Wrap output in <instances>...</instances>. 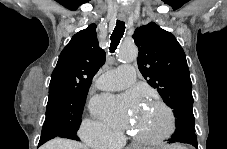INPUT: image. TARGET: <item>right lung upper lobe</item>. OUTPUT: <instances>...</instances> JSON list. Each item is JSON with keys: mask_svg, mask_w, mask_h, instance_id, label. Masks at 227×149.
Masks as SVG:
<instances>
[{"mask_svg": "<svg viewBox=\"0 0 227 149\" xmlns=\"http://www.w3.org/2000/svg\"><path fill=\"white\" fill-rule=\"evenodd\" d=\"M96 24L76 33L62 50L52 72L49 93L88 91L93 76L105 62V51L99 47Z\"/></svg>", "mask_w": 227, "mask_h": 149, "instance_id": "obj_1", "label": "right lung upper lobe"}]
</instances>
